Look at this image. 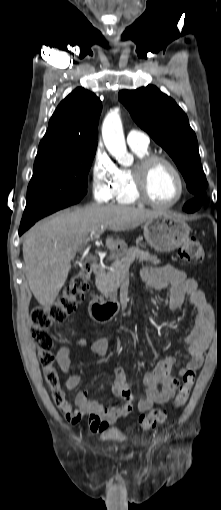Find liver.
I'll return each mask as SVG.
<instances>
[{
	"label": "liver",
	"mask_w": 221,
	"mask_h": 510,
	"mask_svg": "<svg viewBox=\"0 0 221 510\" xmlns=\"http://www.w3.org/2000/svg\"><path fill=\"white\" fill-rule=\"evenodd\" d=\"M163 212L123 205L92 204L74 211L66 210L35 224L24 236L23 258L25 274L36 300L50 307L64 286L71 261L91 234L101 226L111 231L138 227ZM119 240L106 239L108 248Z\"/></svg>",
	"instance_id": "1"
}]
</instances>
